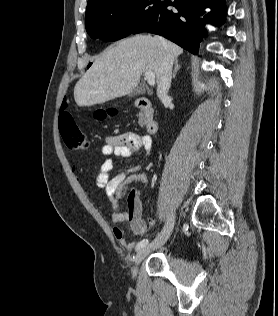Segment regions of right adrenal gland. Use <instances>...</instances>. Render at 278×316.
I'll return each mask as SVG.
<instances>
[{
  "instance_id": "2a0ac1e0",
  "label": "right adrenal gland",
  "mask_w": 278,
  "mask_h": 316,
  "mask_svg": "<svg viewBox=\"0 0 278 316\" xmlns=\"http://www.w3.org/2000/svg\"><path fill=\"white\" fill-rule=\"evenodd\" d=\"M180 65L178 63V59L175 60V68H174V71H173V78L176 77V74H177V71L180 69Z\"/></svg>"
}]
</instances>
